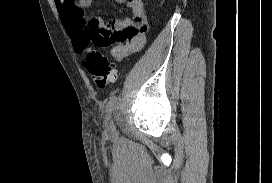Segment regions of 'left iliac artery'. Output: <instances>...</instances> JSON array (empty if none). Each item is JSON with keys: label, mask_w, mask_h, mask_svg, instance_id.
I'll return each mask as SVG.
<instances>
[{"label": "left iliac artery", "mask_w": 272, "mask_h": 183, "mask_svg": "<svg viewBox=\"0 0 272 183\" xmlns=\"http://www.w3.org/2000/svg\"><path fill=\"white\" fill-rule=\"evenodd\" d=\"M116 103H117V97L116 96L110 97V99L106 105L107 113H111L113 111L114 107L116 106Z\"/></svg>", "instance_id": "44dca946"}]
</instances>
